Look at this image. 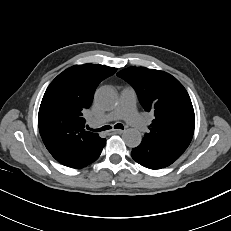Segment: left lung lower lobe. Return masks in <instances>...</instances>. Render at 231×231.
I'll use <instances>...</instances> for the list:
<instances>
[{
    "label": "left lung lower lobe",
    "mask_w": 231,
    "mask_h": 231,
    "mask_svg": "<svg viewBox=\"0 0 231 231\" xmlns=\"http://www.w3.org/2000/svg\"><path fill=\"white\" fill-rule=\"evenodd\" d=\"M182 151L174 146L151 139H143L141 144L132 149V158L140 165L149 169H161L171 165Z\"/></svg>",
    "instance_id": "0a47b994"
}]
</instances>
